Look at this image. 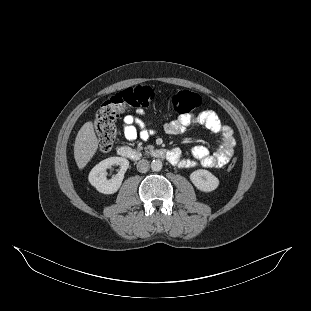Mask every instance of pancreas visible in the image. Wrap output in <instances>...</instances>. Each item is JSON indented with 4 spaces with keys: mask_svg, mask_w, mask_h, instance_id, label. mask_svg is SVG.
<instances>
[{
    "mask_svg": "<svg viewBox=\"0 0 311 311\" xmlns=\"http://www.w3.org/2000/svg\"><path fill=\"white\" fill-rule=\"evenodd\" d=\"M154 147L152 146V145H148L147 147H146V149H148V150H152Z\"/></svg>",
    "mask_w": 311,
    "mask_h": 311,
    "instance_id": "obj_1",
    "label": "pancreas"
}]
</instances>
